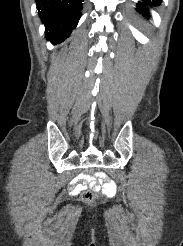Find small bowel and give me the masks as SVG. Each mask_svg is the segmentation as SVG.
Returning a JSON list of instances; mask_svg holds the SVG:
<instances>
[{"mask_svg": "<svg viewBox=\"0 0 183 246\" xmlns=\"http://www.w3.org/2000/svg\"><path fill=\"white\" fill-rule=\"evenodd\" d=\"M76 180H84L85 183L73 184L71 189L73 194L84 191L88 186L87 184H89L91 188L97 190L98 186L95 185L94 182H103L105 185V189H103L105 198H115L114 191L116 190V181H113V177H107L105 170H102L101 174H93L92 178H88V174H77Z\"/></svg>", "mask_w": 183, "mask_h": 246, "instance_id": "c3829d8e", "label": "small bowel"}]
</instances>
